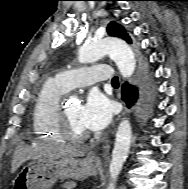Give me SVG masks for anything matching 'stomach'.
Masks as SVG:
<instances>
[{
  "label": "stomach",
  "mask_w": 188,
  "mask_h": 189,
  "mask_svg": "<svg viewBox=\"0 0 188 189\" xmlns=\"http://www.w3.org/2000/svg\"><path fill=\"white\" fill-rule=\"evenodd\" d=\"M98 170L99 163L93 156L37 159L23 167L13 181V189H48L58 179L86 178L96 175Z\"/></svg>",
  "instance_id": "0dacf381"
}]
</instances>
